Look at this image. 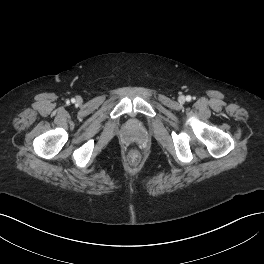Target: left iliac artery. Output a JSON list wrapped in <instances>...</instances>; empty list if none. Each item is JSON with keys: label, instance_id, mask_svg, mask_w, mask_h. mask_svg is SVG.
I'll list each match as a JSON object with an SVG mask.
<instances>
[{"label": "left iliac artery", "instance_id": "left-iliac-artery-1", "mask_svg": "<svg viewBox=\"0 0 264 264\" xmlns=\"http://www.w3.org/2000/svg\"><path fill=\"white\" fill-rule=\"evenodd\" d=\"M186 100H187V101H191V96H187V97H186Z\"/></svg>", "mask_w": 264, "mask_h": 264}]
</instances>
